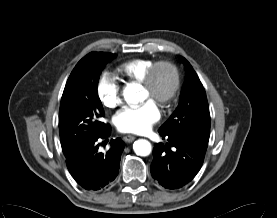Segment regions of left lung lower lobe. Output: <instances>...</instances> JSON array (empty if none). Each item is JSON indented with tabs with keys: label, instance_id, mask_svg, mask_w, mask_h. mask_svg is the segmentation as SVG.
Here are the masks:
<instances>
[{
	"label": "left lung lower lobe",
	"instance_id": "1",
	"mask_svg": "<svg viewBox=\"0 0 277 218\" xmlns=\"http://www.w3.org/2000/svg\"><path fill=\"white\" fill-rule=\"evenodd\" d=\"M169 143L155 145L151 173L153 178L169 189H176L190 182L200 170L209 134L177 131L159 132Z\"/></svg>",
	"mask_w": 277,
	"mask_h": 218
}]
</instances>
